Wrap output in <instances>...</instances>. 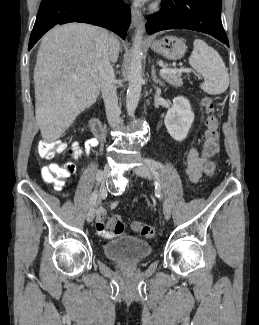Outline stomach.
Instances as JSON below:
<instances>
[{
  "instance_id": "stomach-1",
  "label": "stomach",
  "mask_w": 259,
  "mask_h": 325,
  "mask_svg": "<svg viewBox=\"0 0 259 325\" xmlns=\"http://www.w3.org/2000/svg\"><path fill=\"white\" fill-rule=\"evenodd\" d=\"M152 51L159 53L168 60H179L186 52L185 42L175 36H165L160 40H154L150 43Z\"/></svg>"
}]
</instances>
